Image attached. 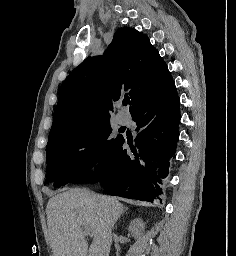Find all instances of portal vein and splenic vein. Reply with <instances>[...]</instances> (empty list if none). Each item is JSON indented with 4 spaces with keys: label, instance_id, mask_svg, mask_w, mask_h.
Masks as SVG:
<instances>
[{
    "label": "portal vein and splenic vein",
    "instance_id": "18ae733b",
    "mask_svg": "<svg viewBox=\"0 0 236 256\" xmlns=\"http://www.w3.org/2000/svg\"><path fill=\"white\" fill-rule=\"evenodd\" d=\"M90 230L91 228H88V226H84V232H83L84 236H91Z\"/></svg>",
    "mask_w": 236,
    "mask_h": 256
}]
</instances>
